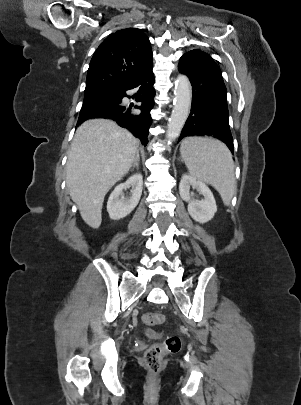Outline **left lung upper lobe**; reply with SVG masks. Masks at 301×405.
Returning a JSON list of instances; mask_svg holds the SVG:
<instances>
[{"instance_id":"left-lung-upper-lobe-1","label":"left lung upper lobe","mask_w":301,"mask_h":405,"mask_svg":"<svg viewBox=\"0 0 301 405\" xmlns=\"http://www.w3.org/2000/svg\"><path fill=\"white\" fill-rule=\"evenodd\" d=\"M189 52H198V53H203V54L208 55L207 53H205V52H203L201 50H198V49H195V50H192V51H189Z\"/></svg>"}]
</instances>
